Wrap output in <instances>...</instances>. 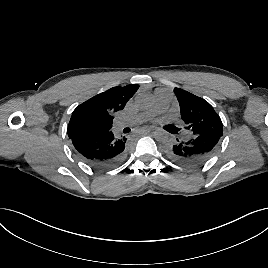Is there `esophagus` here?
<instances>
[{
    "label": "esophagus",
    "mask_w": 268,
    "mask_h": 268,
    "mask_svg": "<svg viewBox=\"0 0 268 268\" xmlns=\"http://www.w3.org/2000/svg\"><path fill=\"white\" fill-rule=\"evenodd\" d=\"M151 131H153V129H151L150 131L147 132V135L148 136H151L152 135V132Z\"/></svg>",
    "instance_id": "34e87169"
}]
</instances>
